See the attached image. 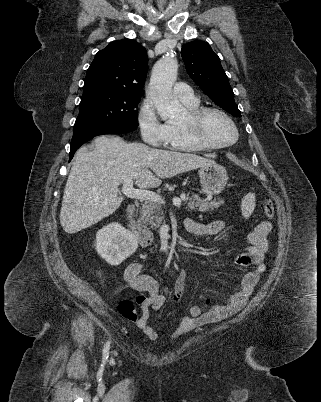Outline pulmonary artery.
<instances>
[{
	"mask_svg": "<svg viewBox=\"0 0 321 402\" xmlns=\"http://www.w3.org/2000/svg\"><path fill=\"white\" fill-rule=\"evenodd\" d=\"M173 93L182 102H192L197 99L192 88L185 83H176L173 87Z\"/></svg>",
	"mask_w": 321,
	"mask_h": 402,
	"instance_id": "obj_1",
	"label": "pulmonary artery"
}]
</instances>
